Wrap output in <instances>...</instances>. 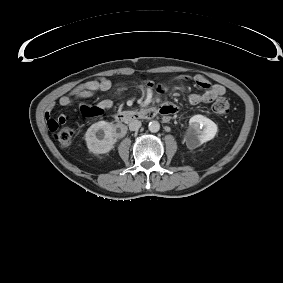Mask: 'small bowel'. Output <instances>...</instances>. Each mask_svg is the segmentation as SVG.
<instances>
[{
  "instance_id": "small-bowel-1",
  "label": "small bowel",
  "mask_w": 283,
  "mask_h": 283,
  "mask_svg": "<svg viewBox=\"0 0 283 283\" xmlns=\"http://www.w3.org/2000/svg\"><path fill=\"white\" fill-rule=\"evenodd\" d=\"M190 79L185 76H181L176 78V82L182 83L187 82ZM195 84L203 89L202 93H192L188 95V101L192 105H198L201 103H208L215 100L217 97L223 96L226 93L224 86L219 84H211L206 77L203 75H196L193 78ZM141 86L146 90V96L150 97V93L148 90L152 87V83L150 81L141 82ZM112 88V82L105 78L99 77L84 83H81L70 91L62 95L58 103L63 107L72 106L76 99H87L99 92H105ZM159 91H164L165 87H159ZM112 107V102L110 100H103L99 103L98 106L92 107L89 105H83L81 107L82 113L87 117L99 116L102 114L104 109H110ZM163 114H171L176 109L170 103H164L161 107ZM46 124L48 128L52 131L55 129L58 124L65 123L66 117L63 113L59 114L57 117H52L49 112L45 115Z\"/></svg>"
}]
</instances>
